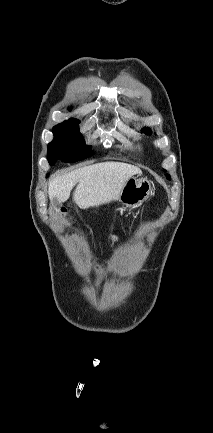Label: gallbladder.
<instances>
[{
  "instance_id": "obj_1",
  "label": "gallbladder",
  "mask_w": 213,
  "mask_h": 433,
  "mask_svg": "<svg viewBox=\"0 0 213 433\" xmlns=\"http://www.w3.org/2000/svg\"><path fill=\"white\" fill-rule=\"evenodd\" d=\"M51 205L54 209H59L61 206V203L56 198H54L51 200Z\"/></svg>"
}]
</instances>
